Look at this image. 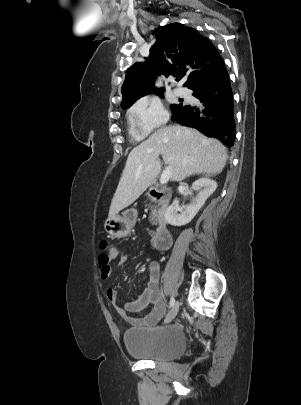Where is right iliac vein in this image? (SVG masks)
Segmentation results:
<instances>
[{"mask_svg": "<svg viewBox=\"0 0 301 405\" xmlns=\"http://www.w3.org/2000/svg\"><path fill=\"white\" fill-rule=\"evenodd\" d=\"M178 310H179V303L176 302L172 307V309L170 310V312L167 314L165 322L166 323L171 322L176 317Z\"/></svg>", "mask_w": 301, "mask_h": 405, "instance_id": "63e3f726", "label": "right iliac vein"}]
</instances>
